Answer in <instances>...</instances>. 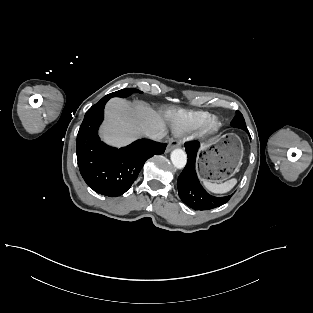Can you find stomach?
Here are the masks:
<instances>
[{"instance_id": "1", "label": "stomach", "mask_w": 313, "mask_h": 313, "mask_svg": "<svg viewBox=\"0 0 313 313\" xmlns=\"http://www.w3.org/2000/svg\"><path fill=\"white\" fill-rule=\"evenodd\" d=\"M243 146L238 136L224 135L210 144L202 145L198 153L200 175L204 180L222 182L239 169Z\"/></svg>"}]
</instances>
